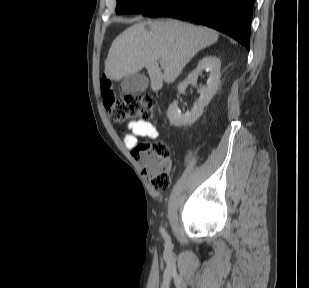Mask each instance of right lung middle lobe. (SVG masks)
Masks as SVG:
<instances>
[{"label":"right lung middle lobe","mask_w":309,"mask_h":288,"mask_svg":"<svg viewBox=\"0 0 309 288\" xmlns=\"http://www.w3.org/2000/svg\"><path fill=\"white\" fill-rule=\"evenodd\" d=\"M162 0H117V14H141L157 5Z\"/></svg>","instance_id":"dd1d6c3e"}]
</instances>
